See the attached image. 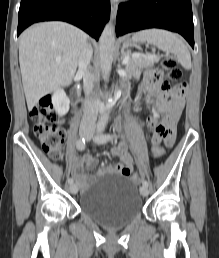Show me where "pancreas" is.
<instances>
[{
    "mask_svg": "<svg viewBox=\"0 0 219 258\" xmlns=\"http://www.w3.org/2000/svg\"><path fill=\"white\" fill-rule=\"evenodd\" d=\"M127 55L129 56V62L126 64L125 70L129 77H139L144 68L152 67L154 63L159 61L158 57L145 59L131 57L130 54Z\"/></svg>",
    "mask_w": 219,
    "mask_h": 258,
    "instance_id": "1",
    "label": "pancreas"
}]
</instances>
